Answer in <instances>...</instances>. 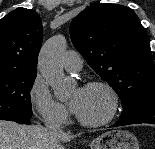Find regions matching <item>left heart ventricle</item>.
Segmentation results:
<instances>
[{
    "mask_svg": "<svg viewBox=\"0 0 155 149\" xmlns=\"http://www.w3.org/2000/svg\"><path fill=\"white\" fill-rule=\"evenodd\" d=\"M77 91L73 92L75 96ZM109 99L102 91L92 88L83 89V97L77 114L83 119L96 121L103 119L109 111Z\"/></svg>",
    "mask_w": 155,
    "mask_h": 149,
    "instance_id": "1",
    "label": "left heart ventricle"
}]
</instances>
